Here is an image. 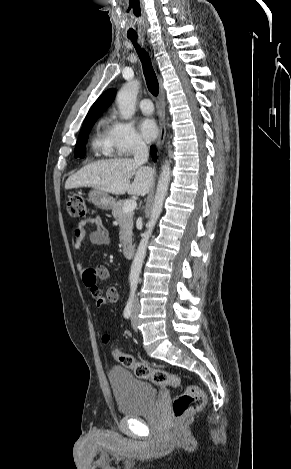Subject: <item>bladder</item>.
Segmentation results:
<instances>
[{
	"label": "bladder",
	"instance_id": "bladder-1",
	"mask_svg": "<svg viewBox=\"0 0 291 469\" xmlns=\"http://www.w3.org/2000/svg\"><path fill=\"white\" fill-rule=\"evenodd\" d=\"M109 380L121 415L139 416L153 408L157 392L150 383L135 377L123 367H113L109 371Z\"/></svg>",
	"mask_w": 291,
	"mask_h": 469
}]
</instances>
